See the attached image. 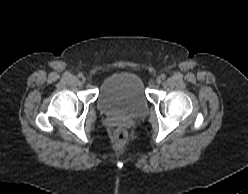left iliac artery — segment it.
<instances>
[{"instance_id":"left-iliac-artery-1","label":"left iliac artery","mask_w":248,"mask_h":194,"mask_svg":"<svg viewBox=\"0 0 248 194\" xmlns=\"http://www.w3.org/2000/svg\"><path fill=\"white\" fill-rule=\"evenodd\" d=\"M161 78H162V79H165V78H166V75H165V74H162V75H161Z\"/></svg>"}]
</instances>
